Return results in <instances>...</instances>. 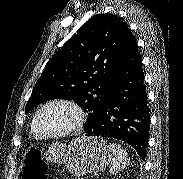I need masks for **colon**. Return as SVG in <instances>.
I'll return each instance as SVG.
<instances>
[{
  "instance_id": "colon-1",
  "label": "colon",
  "mask_w": 183,
  "mask_h": 179,
  "mask_svg": "<svg viewBox=\"0 0 183 179\" xmlns=\"http://www.w3.org/2000/svg\"><path fill=\"white\" fill-rule=\"evenodd\" d=\"M46 164L38 149L28 151L23 169V179H46Z\"/></svg>"
}]
</instances>
